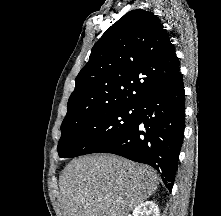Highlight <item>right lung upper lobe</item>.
<instances>
[{
  "label": "right lung upper lobe",
  "mask_w": 221,
  "mask_h": 216,
  "mask_svg": "<svg viewBox=\"0 0 221 216\" xmlns=\"http://www.w3.org/2000/svg\"><path fill=\"white\" fill-rule=\"evenodd\" d=\"M180 71L169 35L145 10L126 13L93 46L75 79L63 123L115 106H137Z\"/></svg>",
  "instance_id": "right-lung-upper-lobe-1"
}]
</instances>
